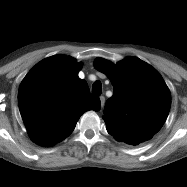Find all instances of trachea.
<instances>
[{"mask_svg": "<svg viewBox=\"0 0 187 187\" xmlns=\"http://www.w3.org/2000/svg\"><path fill=\"white\" fill-rule=\"evenodd\" d=\"M102 84L100 81H95L92 85V95H101Z\"/></svg>", "mask_w": 187, "mask_h": 187, "instance_id": "obj_1", "label": "trachea"}]
</instances>
